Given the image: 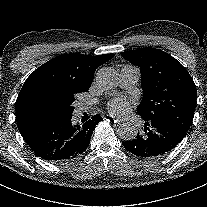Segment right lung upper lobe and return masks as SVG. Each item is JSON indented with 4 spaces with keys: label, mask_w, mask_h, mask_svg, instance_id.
Here are the masks:
<instances>
[{
    "label": "right lung upper lobe",
    "mask_w": 207,
    "mask_h": 207,
    "mask_svg": "<svg viewBox=\"0 0 207 207\" xmlns=\"http://www.w3.org/2000/svg\"><path fill=\"white\" fill-rule=\"evenodd\" d=\"M113 57L114 54L71 53L55 57L32 72L16 100V121L21 135L55 122L42 105L51 102L72 106L79 93L89 90L95 70Z\"/></svg>",
    "instance_id": "right-lung-upper-lobe-1"
}]
</instances>
